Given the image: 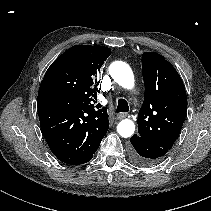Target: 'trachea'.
Here are the masks:
<instances>
[{
	"instance_id": "obj_1",
	"label": "trachea",
	"mask_w": 211,
	"mask_h": 211,
	"mask_svg": "<svg viewBox=\"0 0 211 211\" xmlns=\"http://www.w3.org/2000/svg\"><path fill=\"white\" fill-rule=\"evenodd\" d=\"M97 108H101V104H97ZM129 111V106L128 103L125 99L120 98L118 99L117 102V108H116V112H128Z\"/></svg>"
}]
</instances>
